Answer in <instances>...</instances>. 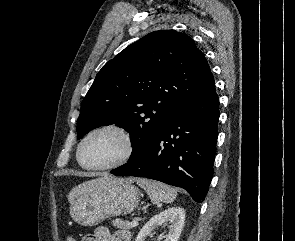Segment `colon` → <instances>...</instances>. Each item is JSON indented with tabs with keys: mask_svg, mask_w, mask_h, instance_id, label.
<instances>
[{
	"mask_svg": "<svg viewBox=\"0 0 295 241\" xmlns=\"http://www.w3.org/2000/svg\"><path fill=\"white\" fill-rule=\"evenodd\" d=\"M67 241H75L73 238H69L67 239Z\"/></svg>",
	"mask_w": 295,
	"mask_h": 241,
	"instance_id": "colon-1",
	"label": "colon"
}]
</instances>
